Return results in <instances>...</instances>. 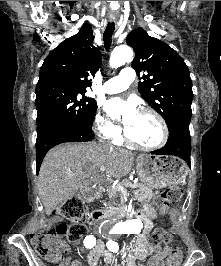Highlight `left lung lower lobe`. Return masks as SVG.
Returning a JSON list of instances; mask_svg holds the SVG:
<instances>
[{"label":"left lung lower lobe","instance_id":"obj_1","mask_svg":"<svg viewBox=\"0 0 221 266\" xmlns=\"http://www.w3.org/2000/svg\"><path fill=\"white\" fill-rule=\"evenodd\" d=\"M151 153L156 155L177 156L190 166L191 140L189 124H178L170 128L169 138L166 145Z\"/></svg>","mask_w":221,"mask_h":266}]
</instances>
